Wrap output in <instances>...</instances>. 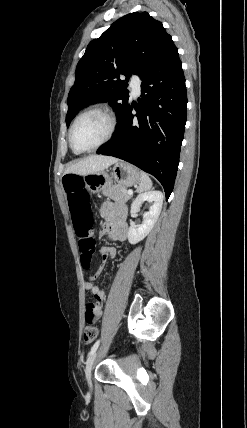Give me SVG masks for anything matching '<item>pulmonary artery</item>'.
Listing matches in <instances>:
<instances>
[{
	"instance_id": "1",
	"label": "pulmonary artery",
	"mask_w": 247,
	"mask_h": 428,
	"mask_svg": "<svg viewBox=\"0 0 247 428\" xmlns=\"http://www.w3.org/2000/svg\"><path fill=\"white\" fill-rule=\"evenodd\" d=\"M131 87H132L133 93L135 95H138L140 93V90H141V81H140V79L138 77H136V76L132 77Z\"/></svg>"
}]
</instances>
